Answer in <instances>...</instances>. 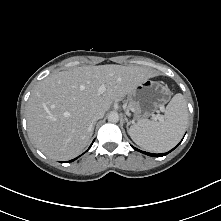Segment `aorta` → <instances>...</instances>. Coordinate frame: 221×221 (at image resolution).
<instances>
[{
  "label": "aorta",
  "instance_id": "1",
  "mask_svg": "<svg viewBox=\"0 0 221 221\" xmlns=\"http://www.w3.org/2000/svg\"><path fill=\"white\" fill-rule=\"evenodd\" d=\"M108 121L111 123H117L119 121V115L117 112H111L108 115Z\"/></svg>",
  "mask_w": 221,
  "mask_h": 221
}]
</instances>
